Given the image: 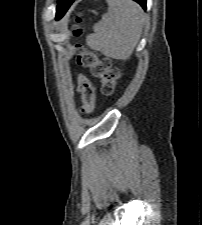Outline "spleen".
Segmentation results:
<instances>
[{"label":"spleen","mask_w":202,"mask_h":225,"mask_svg":"<svg viewBox=\"0 0 202 225\" xmlns=\"http://www.w3.org/2000/svg\"><path fill=\"white\" fill-rule=\"evenodd\" d=\"M108 11L88 35V46L103 55L126 60L132 55L147 21L141 7L132 0H107Z\"/></svg>","instance_id":"3e777b00"}]
</instances>
